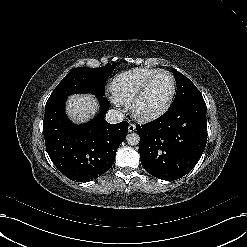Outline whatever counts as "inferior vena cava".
<instances>
[{"label":"inferior vena cava","instance_id":"1","mask_svg":"<svg viewBox=\"0 0 247 247\" xmlns=\"http://www.w3.org/2000/svg\"><path fill=\"white\" fill-rule=\"evenodd\" d=\"M124 119V114L120 109H111L106 114V121L111 124H116Z\"/></svg>","mask_w":247,"mask_h":247}]
</instances>
